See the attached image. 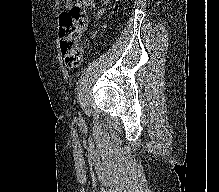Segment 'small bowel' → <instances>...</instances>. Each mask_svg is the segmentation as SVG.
<instances>
[{"mask_svg": "<svg viewBox=\"0 0 219 192\" xmlns=\"http://www.w3.org/2000/svg\"><path fill=\"white\" fill-rule=\"evenodd\" d=\"M78 4L96 11L97 19L104 13L105 9H98L94 0H78ZM66 6H71V0H67Z\"/></svg>", "mask_w": 219, "mask_h": 192, "instance_id": "1", "label": "small bowel"}]
</instances>
